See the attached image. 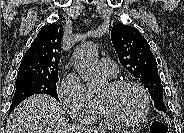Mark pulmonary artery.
<instances>
[{
  "mask_svg": "<svg viewBox=\"0 0 184 133\" xmlns=\"http://www.w3.org/2000/svg\"><path fill=\"white\" fill-rule=\"evenodd\" d=\"M99 68L109 78L115 77L118 72L117 65L111 58H102L99 61Z\"/></svg>",
  "mask_w": 184,
  "mask_h": 133,
  "instance_id": "e3ab8cb5",
  "label": "pulmonary artery"
}]
</instances>
